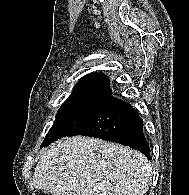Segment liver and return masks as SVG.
Listing matches in <instances>:
<instances>
[{"mask_svg": "<svg viewBox=\"0 0 189 195\" xmlns=\"http://www.w3.org/2000/svg\"><path fill=\"white\" fill-rule=\"evenodd\" d=\"M151 179V163L140 152L74 136L43 152L32 182L52 195H142Z\"/></svg>", "mask_w": 189, "mask_h": 195, "instance_id": "6515ba94", "label": "liver"}]
</instances>
